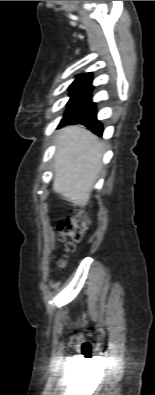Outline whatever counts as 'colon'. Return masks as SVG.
Instances as JSON below:
<instances>
[{"instance_id": "obj_1", "label": "colon", "mask_w": 155, "mask_h": 395, "mask_svg": "<svg viewBox=\"0 0 155 395\" xmlns=\"http://www.w3.org/2000/svg\"><path fill=\"white\" fill-rule=\"evenodd\" d=\"M87 225L88 220L82 213H79L74 219H66L59 224V240L64 245L65 252H71L75 249L76 244L82 240ZM66 264V256L62 255L58 260V265L59 267H65Z\"/></svg>"}]
</instances>
